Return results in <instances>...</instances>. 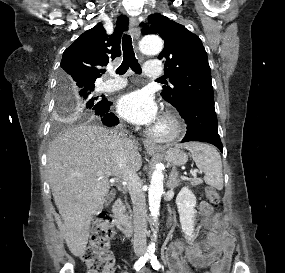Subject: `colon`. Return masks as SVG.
Returning a JSON list of instances; mask_svg holds the SVG:
<instances>
[{
	"mask_svg": "<svg viewBox=\"0 0 285 273\" xmlns=\"http://www.w3.org/2000/svg\"><path fill=\"white\" fill-rule=\"evenodd\" d=\"M207 199L215 206L219 205L220 195L215 188L206 190ZM114 231L108 218L98 219L92 228L89 245L82 254L87 273H112L114 259L110 252V242Z\"/></svg>",
	"mask_w": 285,
	"mask_h": 273,
	"instance_id": "5ec220e1",
	"label": "colon"
}]
</instances>
